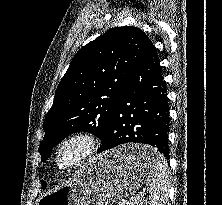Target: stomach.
<instances>
[{
	"instance_id": "0dacf381",
	"label": "stomach",
	"mask_w": 222,
	"mask_h": 205,
	"mask_svg": "<svg viewBox=\"0 0 222 205\" xmlns=\"http://www.w3.org/2000/svg\"><path fill=\"white\" fill-rule=\"evenodd\" d=\"M159 154L154 148L132 144L104 152L89 160L68 184L43 193L38 205H113L134 193L148 177V164L137 156Z\"/></svg>"
}]
</instances>
